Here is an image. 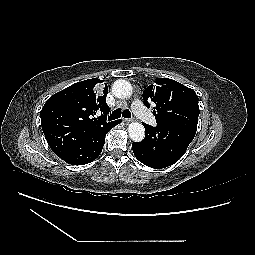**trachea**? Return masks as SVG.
<instances>
[{
    "label": "trachea",
    "instance_id": "1",
    "mask_svg": "<svg viewBox=\"0 0 255 255\" xmlns=\"http://www.w3.org/2000/svg\"><path fill=\"white\" fill-rule=\"evenodd\" d=\"M121 116H123L124 118H131V113L128 109H125L123 111H121L120 109H116L112 112V114H110V116L108 117V120H115L120 118Z\"/></svg>",
    "mask_w": 255,
    "mask_h": 255
}]
</instances>
